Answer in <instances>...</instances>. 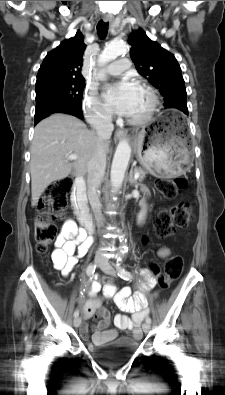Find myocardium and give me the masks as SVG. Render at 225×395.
<instances>
[{
	"instance_id": "obj_1",
	"label": "myocardium",
	"mask_w": 225,
	"mask_h": 395,
	"mask_svg": "<svg viewBox=\"0 0 225 395\" xmlns=\"http://www.w3.org/2000/svg\"><path fill=\"white\" fill-rule=\"evenodd\" d=\"M140 88L143 89L147 93V95L150 99V104H149V107H148L146 113L143 116H141L139 118H129L128 119V122L132 125H143V124L147 123L148 121H150L151 118L153 117L157 107H158V104H159L158 96H157L155 90L151 86H149L147 84H141Z\"/></svg>"
}]
</instances>
